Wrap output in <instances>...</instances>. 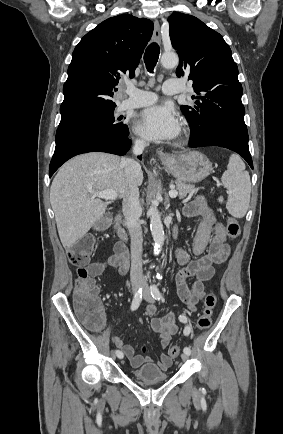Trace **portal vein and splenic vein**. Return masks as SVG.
I'll return each mask as SVG.
<instances>
[{
  "label": "portal vein and splenic vein",
  "mask_w": 283,
  "mask_h": 434,
  "mask_svg": "<svg viewBox=\"0 0 283 434\" xmlns=\"http://www.w3.org/2000/svg\"><path fill=\"white\" fill-rule=\"evenodd\" d=\"M90 194L93 197L103 198L106 200H115L117 198V193L113 190H105V191H100V192L90 191ZM177 195H178V192L176 190L171 189L169 191V196L171 198H176Z\"/></svg>",
  "instance_id": "18ae733b"
}]
</instances>
